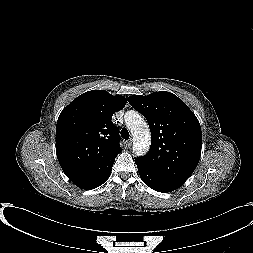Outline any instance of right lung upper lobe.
Wrapping results in <instances>:
<instances>
[{
	"label": "right lung upper lobe",
	"mask_w": 253,
	"mask_h": 253,
	"mask_svg": "<svg viewBox=\"0 0 253 253\" xmlns=\"http://www.w3.org/2000/svg\"><path fill=\"white\" fill-rule=\"evenodd\" d=\"M126 99L103 90L88 91L63 109L56 125V153L68 178L78 187L108 174L122 151L112 116Z\"/></svg>",
	"instance_id": "cb5924a9"
}]
</instances>
